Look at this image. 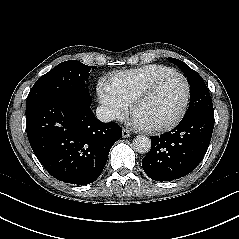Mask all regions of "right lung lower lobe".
Returning a JSON list of instances; mask_svg holds the SVG:
<instances>
[{
	"mask_svg": "<svg viewBox=\"0 0 239 239\" xmlns=\"http://www.w3.org/2000/svg\"><path fill=\"white\" fill-rule=\"evenodd\" d=\"M91 97H45L26 104L30 145L50 175L78 185L94 182L102 173L121 127L100 122L90 109Z\"/></svg>",
	"mask_w": 239,
	"mask_h": 239,
	"instance_id": "98d812e1",
	"label": "right lung lower lobe"
}]
</instances>
